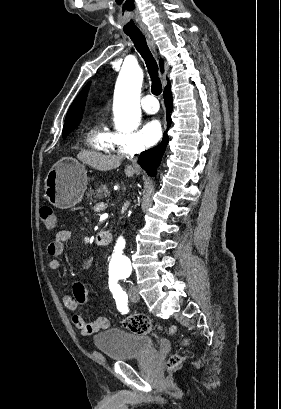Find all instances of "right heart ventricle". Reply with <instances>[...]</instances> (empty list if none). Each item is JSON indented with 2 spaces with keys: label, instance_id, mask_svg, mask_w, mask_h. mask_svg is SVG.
Masks as SVG:
<instances>
[{
  "label": "right heart ventricle",
  "instance_id": "1",
  "mask_svg": "<svg viewBox=\"0 0 281 409\" xmlns=\"http://www.w3.org/2000/svg\"><path fill=\"white\" fill-rule=\"evenodd\" d=\"M90 145L91 148L99 155H107L113 152L116 148L120 152H128L116 143V134L103 122H96L90 130Z\"/></svg>",
  "mask_w": 281,
  "mask_h": 409
}]
</instances>
